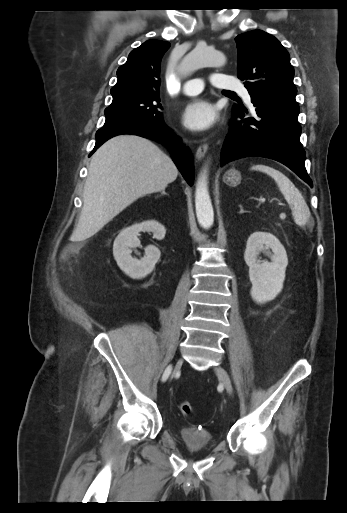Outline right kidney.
Masks as SVG:
<instances>
[{"label":"right kidney","mask_w":347,"mask_h":513,"mask_svg":"<svg viewBox=\"0 0 347 513\" xmlns=\"http://www.w3.org/2000/svg\"><path fill=\"white\" fill-rule=\"evenodd\" d=\"M141 231L152 232L153 237L162 240L165 237V227L155 220H148L123 229L113 244V256L120 269L133 279H141L151 273L160 258V251L154 245L145 248L141 259L131 256V248L140 246L138 234Z\"/></svg>","instance_id":"obj_1"}]
</instances>
